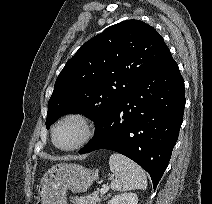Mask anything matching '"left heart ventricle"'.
Here are the masks:
<instances>
[{"label": "left heart ventricle", "instance_id": "1", "mask_svg": "<svg viewBox=\"0 0 212 204\" xmlns=\"http://www.w3.org/2000/svg\"><path fill=\"white\" fill-rule=\"evenodd\" d=\"M82 136V127L76 121H67L61 124L55 134L58 145L70 147L74 145Z\"/></svg>", "mask_w": 212, "mask_h": 204}]
</instances>
